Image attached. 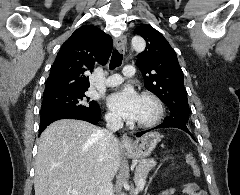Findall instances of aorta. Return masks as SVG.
Listing matches in <instances>:
<instances>
[{"label":"aorta","mask_w":240,"mask_h":195,"mask_svg":"<svg viewBox=\"0 0 240 195\" xmlns=\"http://www.w3.org/2000/svg\"><path fill=\"white\" fill-rule=\"evenodd\" d=\"M131 44L135 52H143V50H145L146 44L143 38H132ZM121 195H126V193H121Z\"/></svg>","instance_id":"obj_1"}]
</instances>
